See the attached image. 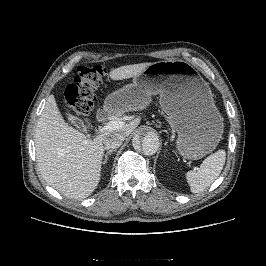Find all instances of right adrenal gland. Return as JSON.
Segmentation results:
<instances>
[{"mask_svg":"<svg viewBox=\"0 0 266 266\" xmlns=\"http://www.w3.org/2000/svg\"><path fill=\"white\" fill-rule=\"evenodd\" d=\"M114 151H116V149H110L106 152L105 154V158H104V161L102 162V164H105L107 163V160H108V156L111 155Z\"/></svg>","mask_w":266,"mask_h":266,"instance_id":"right-adrenal-gland-1","label":"right adrenal gland"}]
</instances>
